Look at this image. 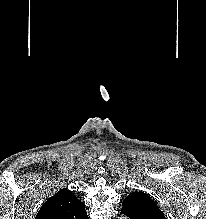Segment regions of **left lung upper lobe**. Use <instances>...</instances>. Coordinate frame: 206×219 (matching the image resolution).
Listing matches in <instances>:
<instances>
[{"label":"left lung upper lobe","mask_w":206,"mask_h":219,"mask_svg":"<svg viewBox=\"0 0 206 219\" xmlns=\"http://www.w3.org/2000/svg\"><path fill=\"white\" fill-rule=\"evenodd\" d=\"M123 209L142 219H165L157 204L143 192H133L127 196L123 201Z\"/></svg>","instance_id":"1"}]
</instances>
